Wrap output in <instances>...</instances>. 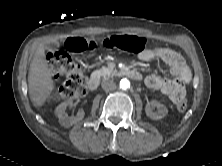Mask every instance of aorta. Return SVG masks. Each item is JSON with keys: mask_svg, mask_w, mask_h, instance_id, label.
<instances>
[{"mask_svg": "<svg viewBox=\"0 0 222 166\" xmlns=\"http://www.w3.org/2000/svg\"><path fill=\"white\" fill-rule=\"evenodd\" d=\"M130 87V81L128 80V79H122L121 81H120V88L121 89H124V90H126V89H128Z\"/></svg>", "mask_w": 222, "mask_h": 166, "instance_id": "obj_1", "label": "aorta"}]
</instances>
